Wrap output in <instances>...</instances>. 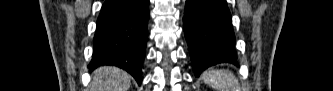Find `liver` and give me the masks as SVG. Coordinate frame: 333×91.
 I'll list each match as a JSON object with an SVG mask.
<instances>
[{
  "label": "liver",
  "mask_w": 333,
  "mask_h": 91,
  "mask_svg": "<svg viewBox=\"0 0 333 91\" xmlns=\"http://www.w3.org/2000/svg\"><path fill=\"white\" fill-rule=\"evenodd\" d=\"M130 84V76L125 71L103 66L94 71L91 91H128Z\"/></svg>",
  "instance_id": "6515ba94"
}]
</instances>
